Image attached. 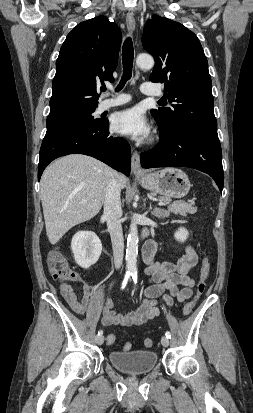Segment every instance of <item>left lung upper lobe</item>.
<instances>
[{
  "label": "left lung upper lobe",
  "instance_id": "obj_1",
  "mask_svg": "<svg viewBox=\"0 0 253 413\" xmlns=\"http://www.w3.org/2000/svg\"><path fill=\"white\" fill-rule=\"evenodd\" d=\"M144 48L154 57L152 82L165 84L172 108L151 110L168 139L188 127L217 131L208 62L197 36L182 24L153 15L144 27Z\"/></svg>",
  "mask_w": 253,
  "mask_h": 413
}]
</instances>
